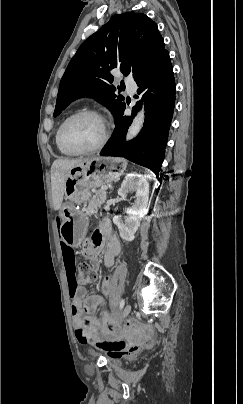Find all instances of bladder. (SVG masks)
Masks as SVG:
<instances>
[{
	"label": "bladder",
	"mask_w": 243,
	"mask_h": 404,
	"mask_svg": "<svg viewBox=\"0 0 243 404\" xmlns=\"http://www.w3.org/2000/svg\"><path fill=\"white\" fill-rule=\"evenodd\" d=\"M92 353V351H89ZM108 362L111 364H119L120 363V358L119 357H109Z\"/></svg>",
	"instance_id": "31cf9c89"
}]
</instances>
